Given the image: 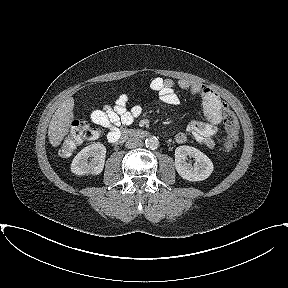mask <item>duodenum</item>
Returning <instances> with one entry per match:
<instances>
[{"mask_svg":"<svg viewBox=\"0 0 288 288\" xmlns=\"http://www.w3.org/2000/svg\"><path fill=\"white\" fill-rule=\"evenodd\" d=\"M148 136V133L144 130H140V129H124L121 134L120 137L117 141H122V140H126L128 138H145ZM116 141V142H117Z\"/></svg>","mask_w":288,"mask_h":288,"instance_id":"1","label":"duodenum"}]
</instances>
